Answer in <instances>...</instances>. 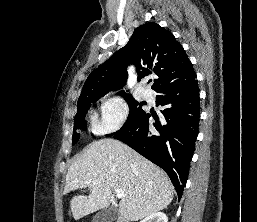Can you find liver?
I'll use <instances>...</instances> for the list:
<instances>
[{"mask_svg": "<svg viewBox=\"0 0 257 222\" xmlns=\"http://www.w3.org/2000/svg\"><path fill=\"white\" fill-rule=\"evenodd\" d=\"M86 187L88 196H74L70 201L75 220L107 208L114 188L124 192L119 212L128 221L165 209L174 195V187L162 169L114 139L92 142L70 165L63 194Z\"/></svg>", "mask_w": 257, "mask_h": 222, "instance_id": "1", "label": "liver"}]
</instances>
